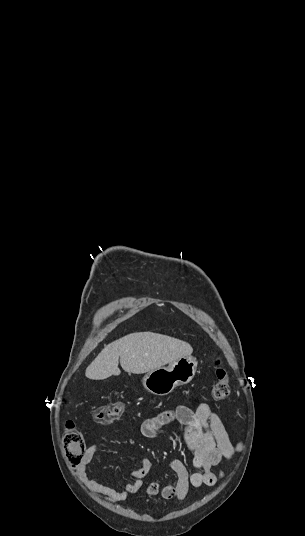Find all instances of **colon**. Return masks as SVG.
I'll return each mask as SVG.
<instances>
[{
    "mask_svg": "<svg viewBox=\"0 0 305 536\" xmlns=\"http://www.w3.org/2000/svg\"><path fill=\"white\" fill-rule=\"evenodd\" d=\"M215 368L217 379L213 386L212 396L214 401L221 402L229 395L230 379L227 369L221 366L219 361L215 362ZM122 411L123 403L121 402L99 405L93 410V418L97 423L109 424L117 419ZM66 429L63 437V444L67 447L65 460L68 462L67 468L75 471L78 468L77 462L83 460L82 450L85 447V437L75 429V425L71 422L67 423ZM152 503H155V500H152ZM168 503H171V500H168Z\"/></svg>",
    "mask_w": 305,
    "mask_h": 536,
    "instance_id": "5ec220e1",
    "label": "colon"
}]
</instances>
